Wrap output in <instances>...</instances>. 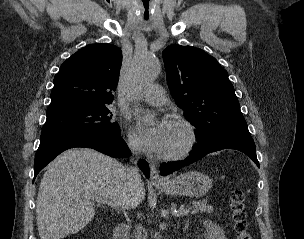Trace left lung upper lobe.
Segmentation results:
<instances>
[{
  "instance_id": "5c2ea615",
  "label": "left lung upper lobe",
  "mask_w": 304,
  "mask_h": 239,
  "mask_svg": "<svg viewBox=\"0 0 304 239\" xmlns=\"http://www.w3.org/2000/svg\"><path fill=\"white\" fill-rule=\"evenodd\" d=\"M176 104L197 128L198 145L227 136H251L228 74L202 49L169 46L163 53Z\"/></svg>"
}]
</instances>
